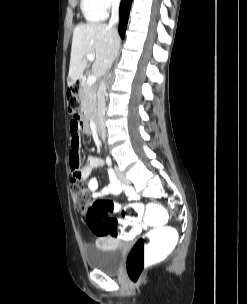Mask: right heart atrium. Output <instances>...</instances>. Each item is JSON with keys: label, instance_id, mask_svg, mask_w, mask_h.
Instances as JSON below:
<instances>
[{"label": "right heart atrium", "instance_id": "right-heart-atrium-1", "mask_svg": "<svg viewBox=\"0 0 247 304\" xmlns=\"http://www.w3.org/2000/svg\"><path fill=\"white\" fill-rule=\"evenodd\" d=\"M97 2L104 11H108L109 9L117 6L119 0H97Z\"/></svg>", "mask_w": 247, "mask_h": 304}]
</instances>
